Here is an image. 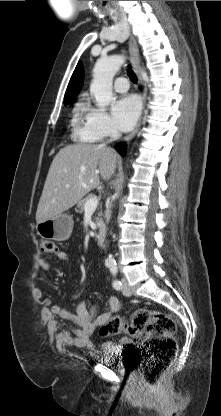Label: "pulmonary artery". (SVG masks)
I'll return each instance as SVG.
<instances>
[{
  "mask_svg": "<svg viewBox=\"0 0 221 416\" xmlns=\"http://www.w3.org/2000/svg\"><path fill=\"white\" fill-rule=\"evenodd\" d=\"M113 88L116 92L125 93L129 89V82L125 77H118L113 83Z\"/></svg>",
  "mask_w": 221,
  "mask_h": 416,
  "instance_id": "1",
  "label": "pulmonary artery"
}]
</instances>
